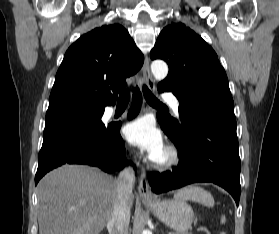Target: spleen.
I'll return each mask as SVG.
<instances>
[{"label":"spleen","instance_id":"1","mask_svg":"<svg viewBox=\"0 0 279 234\" xmlns=\"http://www.w3.org/2000/svg\"><path fill=\"white\" fill-rule=\"evenodd\" d=\"M176 199H181V200H191L195 201L198 203L203 204L206 207H213L214 206V199L208 191H206L203 188L200 187H186L182 190H180L176 195ZM226 222V217L225 215H222L221 217V223ZM225 234V233H221Z\"/></svg>","mask_w":279,"mask_h":234}]
</instances>
